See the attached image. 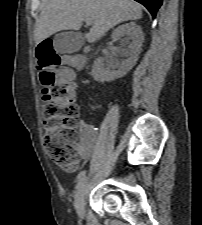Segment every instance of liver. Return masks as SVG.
Wrapping results in <instances>:
<instances>
[{"mask_svg": "<svg viewBox=\"0 0 202 225\" xmlns=\"http://www.w3.org/2000/svg\"><path fill=\"white\" fill-rule=\"evenodd\" d=\"M141 17L142 7L133 0H43L34 38L39 44L56 32L79 30L83 21L90 20L85 38L93 43L117 24Z\"/></svg>", "mask_w": 202, "mask_h": 225, "instance_id": "1", "label": "liver"}]
</instances>
